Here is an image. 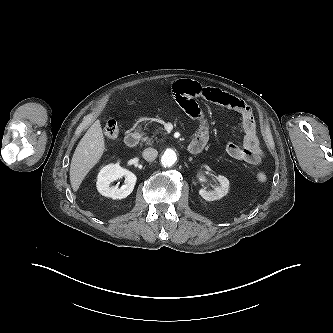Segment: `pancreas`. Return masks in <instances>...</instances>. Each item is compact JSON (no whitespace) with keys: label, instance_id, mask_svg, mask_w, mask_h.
Returning a JSON list of instances; mask_svg holds the SVG:
<instances>
[{"label":"pancreas","instance_id":"obj_1","mask_svg":"<svg viewBox=\"0 0 333 333\" xmlns=\"http://www.w3.org/2000/svg\"><path fill=\"white\" fill-rule=\"evenodd\" d=\"M138 129L140 130L141 127H138ZM155 137V135H153L152 137H144L142 138L143 142H146V144L151 145L153 143V138Z\"/></svg>","mask_w":333,"mask_h":333}]
</instances>
